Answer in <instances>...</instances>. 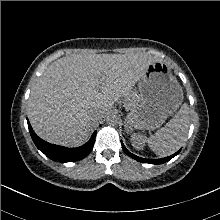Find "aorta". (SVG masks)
Returning <instances> with one entry per match:
<instances>
[{
	"label": "aorta",
	"mask_w": 220,
	"mask_h": 220,
	"mask_svg": "<svg viewBox=\"0 0 220 220\" xmlns=\"http://www.w3.org/2000/svg\"><path fill=\"white\" fill-rule=\"evenodd\" d=\"M118 115L114 112L107 115V122L111 125H115L118 123Z\"/></svg>",
	"instance_id": "aorta-1"
}]
</instances>
